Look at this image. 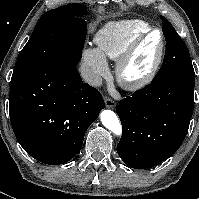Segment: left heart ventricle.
I'll return each mask as SVG.
<instances>
[{"instance_id": "obj_1", "label": "left heart ventricle", "mask_w": 199, "mask_h": 199, "mask_svg": "<svg viewBox=\"0 0 199 199\" xmlns=\"http://www.w3.org/2000/svg\"><path fill=\"white\" fill-rule=\"evenodd\" d=\"M160 40V34L154 32L142 42L128 67L130 76H140L149 70L157 56Z\"/></svg>"}]
</instances>
